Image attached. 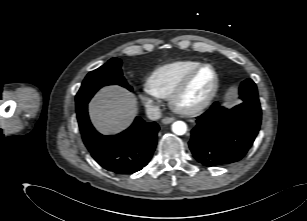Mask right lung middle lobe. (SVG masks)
Returning a JSON list of instances; mask_svg holds the SVG:
<instances>
[{"mask_svg": "<svg viewBox=\"0 0 307 221\" xmlns=\"http://www.w3.org/2000/svg\"><path fill=\"white\" fill-rule=\"evenodd\" d=\"M117 84L132 90L126 83L121 71V60L110 59L106 64L91 71L84 79L80 90L76 95V109L81 110L87 106L93 95L103 86Z\"/></svg>", "mask_w": 307, "mask_h": 221, "instance_id": "right-lung-middle-lobe-1", "label": "right lung middle lobe"}]
</instances>
